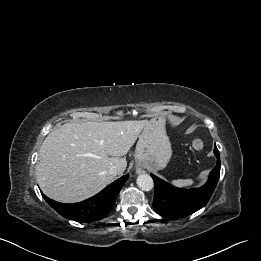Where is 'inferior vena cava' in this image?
<instances>
[{"label":"inferior vena cava","instance_id":"1","mask_svg":"<svg viewBox=\"0 0 261 261\" xmlns=\"http://www.w3.org/2000/svg\"><path fill=\"white\" fill-rule=\"evenodd\" d=\"M109 173L111 174V175H117V174H120L121 173V171H120V169H119V167H117V166H111L110 167V169H109Z\"/></svg>","mask_w":261,"mask_h":261}]
</instances>
